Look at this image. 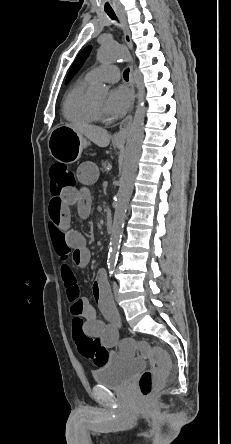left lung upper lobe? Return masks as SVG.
Segmentation results:
<instances>
[{
    "instance_id": "1",
    "label": "left lung upper lobe",
    "mask_w": 231,
    "mask_h": 444,
    "mask_svg": "<svg viewBox=\"0 0 231 444\" xmlns=\"http://www.w3.org/2000/svg\"><path fill=\"white\" fill-rule=\"evenodd\" d=\"M91 50V47L88 46L86 48H84L80 54L78 55V57L76 58L67 78H66V84L73 78V76L78 72V70L81 68V66L83 65L86 57L88 56L89 52Z\"/></svg>"
}]
</instances>
